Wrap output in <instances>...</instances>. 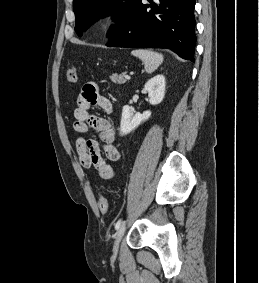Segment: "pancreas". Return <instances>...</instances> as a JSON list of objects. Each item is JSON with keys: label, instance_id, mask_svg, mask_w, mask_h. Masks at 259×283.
<instances>
[{"label": "pancreas", "instance_id": "pancreas-1", "mask_svg": "<svg viewBox=\"0 0 259 283\" xmlns=\"http://www.w3.org/2000/svg\"><path fill=\"white\" fill-rule=\"evenodd\" d=\"M111 80L114 82V83H117V84H124L127 80L125 78V73H122L120 75L118 74H113L111 76Z\"/></svg>", "mask_w": 259, "mask_h": 283}]
</instances>
